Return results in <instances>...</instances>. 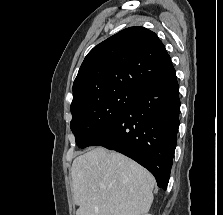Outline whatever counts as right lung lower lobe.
<instances>
[{
  "label": "right lung lower lobe",
  "instance_id": "right-lung-lower-lobe-1",
  "mask_svg": "<svg viewBox=\"0 0 223 215\" xmlns=\"http://www.w3.org/2000/svg\"><path fill=\"white\" fill-rule=\"evenodd\" d=\"M176 75L141 91L114 126L91 146L120 152L145 168L166 190L179 127Z\"/></svg>",
  "mask_w": 223,
  "mask_h": 215
}]
</instances>
